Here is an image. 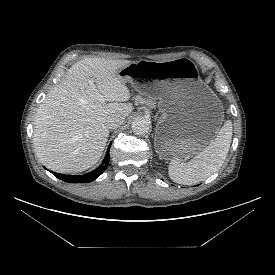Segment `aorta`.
Wrapping results in <instances>:
<instances>
[{"label": "aorta", "instance_id": "aorta-1", "mask_svg": "<svg viewBox=\"0 0 275 275\" xmlns=\"http://www.w3.org/2000/svg\"><path fill=\"white\" fill-rule=\"evenodd\" d=\"M132 130L138 135H144L150 130V122L145 117H136L132 122Z\"/></svg>", "mask_w": 275, "mask_h": 275}]
</instances>
